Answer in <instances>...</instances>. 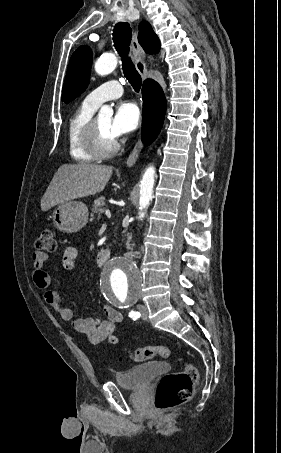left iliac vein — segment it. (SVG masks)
<instances>
[{"mask_svg": "<svg viewBox=\"0 0 281 453\" xmlns=\"http://www.w3.org/2000/svg\"><path fill=\"white\" fill-rule=\"evenodd\" d=\"M140 309H141L140 310V315H141V317H143V319L145 318L144 320L146 321L147 318H148V313L146 311L147 307H141Z\"/></svg>", "mask_w": 281, "mask_h": 453, "instance_id": "4c4485c4", "label": "left iliac vein"}]
</instances>
